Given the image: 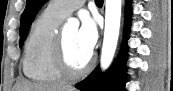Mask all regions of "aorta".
Here are the masks:
<instances>
[{"mask_svg": "<svg viewBox=\"0 0 173 91\" xmlns=\"http://www.w3.org/2000/svg\"><path fill=\"white\" fill-rule=\"evenodd\" d=\"M121 4L122 0H106L105 30L101 53L102 70H106L110 66L114 57L120 30ZM76 24L70 22L72 26Z\"/></svg>", "mask_w": 173, "mask_h": 91, "instance_id": "obj_1", "label": "aorta"}]
</instances>
